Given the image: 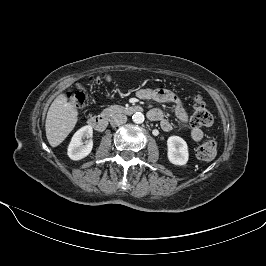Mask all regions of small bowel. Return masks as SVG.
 <instances>
[{
	"label": "small bowel",
	"instance_id": "small-bowel-1",
	"mask_svg": "<svg viewBox=\"0 0 266 266\" xmlns=\"http://www.w3.org/2000/svg\"><path fill=\"white\" fill-rule=\"evenodd\" d=\"M136 96L143 100H152L158 103L169 104V109L175 117L183 124H189V113L180 99L171 91L160 88H143L136 91ZM167 111L159 108H154L149 111L148 117L152 120L159 121L163 130L170 131L172 123L166 117ZM190 136L195 141H200L203 138V131L193 126L190 130Z\"/></svg>",
	"mask_w": 266,
	"mask_h": 266
}]
</instances>
